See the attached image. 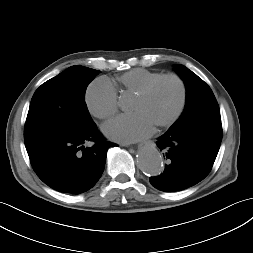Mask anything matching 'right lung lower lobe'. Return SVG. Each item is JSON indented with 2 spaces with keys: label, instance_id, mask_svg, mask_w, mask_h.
I'll list each match as a JSON object with an SVG mask.
<instances>
[{
  "label": "right lung lower lobe",
  "instance_id": "right-lung-lower-lobe-1",
  "mask_svg": "<svg viewBox=\"0 0 253 253\" xmlns=\"http://www.w3.org/2000/svg\"><path fill=\"white\" fill-rule=\"evenodd\" d=\"M88 141L95 144L85 147ZM113 146L94 123L51 137L27 152L34 171L45 184L59 192L80 194L99 180L107 151Z\"/></svg>",
  "mask_w": 253,
  "mask_h": 253
}]
</instances>
